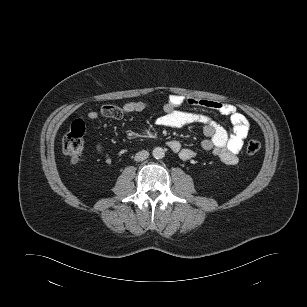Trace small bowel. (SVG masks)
Masks as SVG:
<instances>
[{
    "label": "small bowel",
    "mask_w": 307,
    "mask_h": 307,
    "mask_svg": "<svg viewBox=\"0 0 307 307\" xmlns=\"http://www.w3.org/2000/svg\"><path fill=\"white\" fill-rule=\"evenodd\" d=\"M184 103L228 116L232 124L231 131L228 132L205 113L181 110L180 107ZM146 108L147 103L142 101L127 102L121 106L107 104L99 112L95 110L88 112L87 118L90 121H95L102 115L107 118L121 119L125 114L141 112ZM163 109L164 114L156 119L158 125L179 128L190 124H202L206 136V139L201 143L202 149L212 152L225 164L234 165L238 162V153L249 133V122L233 104L211 99L184 98L173 94L169 97ZM167 145L173 152L178 153L184 161H188L196 155L193 149L182 147L178 140H169ZM96 150L98 153H103L102 145L98 143Z\"/></svg>",
    "instance_id": "obj_1"
}]
</instances>
